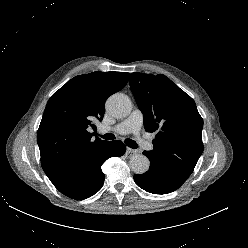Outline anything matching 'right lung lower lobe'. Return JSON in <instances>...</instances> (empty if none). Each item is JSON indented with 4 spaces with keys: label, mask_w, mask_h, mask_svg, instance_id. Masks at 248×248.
Here are the masks:
<instances>
[{
    "label": "right lung lower lobe",
    "mask_w": 248,
    "mask_h": 248,
    "mask_svg": "<svg viewBox=\"0 0 248 248\" xmlns=\"http://www.w3.org/2000/svg\"><path fill=\"white\" fill-rule=\"evenodd\" d=\"M122 141H106L88 151L76 154L55 176L49 178L64 195L83 200L98 192L104 183L101 165L112 156H122Z\"/></svg>",
    "instance_id": "obj_1"
}]
</instances>
